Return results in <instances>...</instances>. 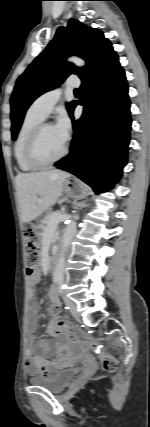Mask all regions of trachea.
Instances as JSON below:
<instances>
[{
    "label": "trachea",
    "mask_w": 150,
    "mask_h": 427,
    "mask_svg": "<svg viewBox=\"0 0 150 427\" xmlns=\"http://www.w3.org/2000/svg\"><path fill=\"white\" fill-rule=\"evenodd\" d=\"M75 92L77 93V92H79V89H75Z\"/></svg>",
    "instance_id": "3493384b"
}]
</instances>
